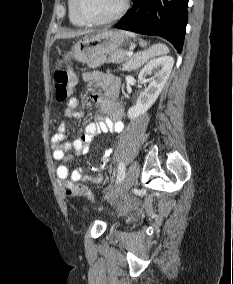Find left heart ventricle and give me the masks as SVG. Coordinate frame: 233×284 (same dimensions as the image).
I'll return each instance as SVG.
<instances>
[{"label":"left heart ventricle","mask_w":233,"mask_h":284,"mask_svg":"<svg viewBox=\"0 0 233 284\" xmlns=\"http://www.w3.org/2000/svg\"><path fill=\"white\" fill-rule=\"evenodd\" d=\"M123 0H83V10L91 18L104 19L121 7Z\"/></svg>","instance_id":"1"}]
</instances>
